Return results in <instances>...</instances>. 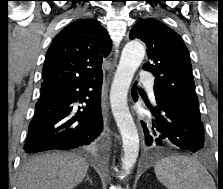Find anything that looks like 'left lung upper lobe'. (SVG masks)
Listing matches in <instances>:
<instances>
[{
    "label": "left lung upper lobe",
    "instance_id": "left-lung-upper-lobe-1",
    "mask_svg": "<svg viewBox=\"0 0 223 189\" xmlns=\"http://www.w3.org/2000/svg\"><path fill=\"white\" fill-rule=\"evenodd\" d=\"M130 39H141L149 61L143 69L155 76V97L171 109L200 119L190 56L181 36L162 22L144 19L135 24Z\"/></svg>",
    "mask_w": 223,
    "mask_h": 189
}]
</instances>
